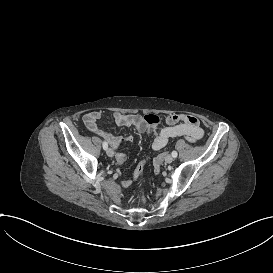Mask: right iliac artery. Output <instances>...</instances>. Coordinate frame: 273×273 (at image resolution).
<instances>
[{
	"mask_svg": "<svg viewBox=\"0 0 273 273\" xmlns=\"http://www.w3.org/2000/svg\"><path fill=\"white\" fill-rule=\"evenodd\" d=\"M107 148H108V144H107V142L104 141V142H103V149H104V150H107Z\"/></svg>",
	"mask_w": 273,
	"mask_h": 273,
	"instance_id": "1",
	"label": "right iliac artery"
}]
</instances>
